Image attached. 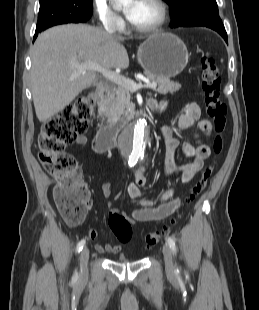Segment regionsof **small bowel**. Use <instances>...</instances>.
Listing matches in <instances>:
<instances>
[{"mask_svg": "<svg viewBox=\"0 0 259 310\" xmlns=\"http://www.w3.org/2000/svg\"><path fill=\"white\" fill-rule=\"evenodd\" d=\"M156 108V111L164 110L168 104L166 102L150 103ZM182 114L177 118L175 129L190 131L198 122L199 129L209 136L211 132V124L208 120L200 119L201 110L198 103L194 101L186 102L182 108ZM161 133L165 145L164 172L170 178H178L182 183H189L195 175L203 168L204 160L209 156L210 149L207 144L203 143L198 134H194L195 142L185 141L181 145L173 135V129L169 126L162 125ZM87 138L81 136L76 140V144H85ZM181 148L182 153L190 159V162L181 166L175 164V153ZM146 178L144 168L139 167L134 174V181L128 184L127 193L134 205H139L132 211L131 216L124 215L130 222L144 223L149 221H160L173 214L180 207V199L174 198L175 188L170 186L163 190L156 198L146 197L141 188L145 186ZM102 193L105 197L112 194L113 185L111 182H105L101 185ZM90 204L89 208H91ZM117 212L116 209L109 206V213ZM97 231L88 230V236L91 239L97 237ZM95 249L99 253L118 254L121 251V245L96 243Z\"/></svg>", "mask_w": 259, "mask_h": 310, "instance_id": "1", "label": "small bowel"}]
</instances>
